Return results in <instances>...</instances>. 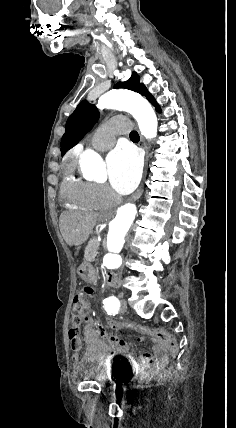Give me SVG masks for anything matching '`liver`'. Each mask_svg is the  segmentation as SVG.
Here are the masks:
<instances>
[{"mask_svg": "<svg viewBox=\"0 0 236 428\" xmlns=\"http://www.w3.org/2000/svg\"><path fill=\"white\" fill-rule=\"evenodd\" d=\"M99 214L93 212H63L59 228L68 246H81L88 240Z\"/></svg>", "mask_w": 236, "mask_h": 428, "instance_id": "1", "label": "liver"}]
</instances>
